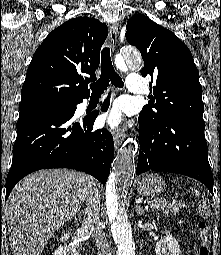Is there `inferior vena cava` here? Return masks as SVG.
<instances>
[{"mask_svg":"<svg viewBox=\"0 0 221 255\" xmlns=\"http://www.w3.org/2000/svg\"><path fill=\"white\" fill-rule=\"evenodd\" d=\"M87 199V219L85 220V224L91 226L96 229L95 239L98 247V255H110V249L108 245V241L106 238V234L101 230L99 222H100V195L97 186H92L86 196Z\"/></svg>","mask_w":221,"mask_h":255,"instance_id":"1","label":"inferior vena cava"}]
</instances>
